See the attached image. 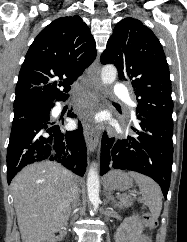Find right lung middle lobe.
Wrapping results in <instances>:
<instances>
[{"instance_id": "1", "label": "right lung middle lobe", "mask_w": 187, "mask_h": 242, "mask_svg": "<svg viewBox=\"0 0 187 242\" xmlns=\"http://www.w3.org/2000/svg\"><path fill=\"white\" fill-rule=\"evenodd\" d=\"M48 107L49 105H27L21 107H14V119H19L31 113L45 110Z\"/></svg>"}]
</instances>
